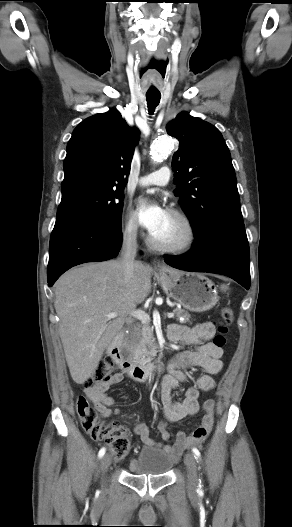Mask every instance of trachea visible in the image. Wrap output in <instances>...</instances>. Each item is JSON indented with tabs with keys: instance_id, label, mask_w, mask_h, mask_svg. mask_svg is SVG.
<instances>
[{
	"instance_id": "trachea-1",
	"label": "trachea",
	"mask_w": 292,
	"mask_h": 527,
	"mask_svg": "<svg viewBox=\"0 0 292 527\" xmlns=\"http://www.w3.org/2000/svg\"><path fill=\"white\" fill-rule=\"evenodd\" d=\"M147 104H148V111L150 114H153L154 109L158 106L161 95L160 94H146Z\"/></svg>"
}]
</instances>
